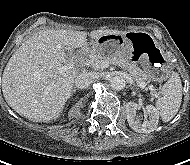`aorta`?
Segmentation results:
<instances>
[{
  "mask_svg": "<svg viewBox=\"0 0 190 165\" xmlns=\"http://www.w3.org/2000/svg\"><path fill=\"white\" fill-rule=\"evenodd\" d=\"M126 85V80L124 77L122 76H115L113 78H111L110 80V86L111 88L115 89V90H122Z\"/></svg>",
  "mask_w": 190,
  "mask_h": 165,
  "instance_id": "1",
  "label": "aorta"
}]
</instances>
